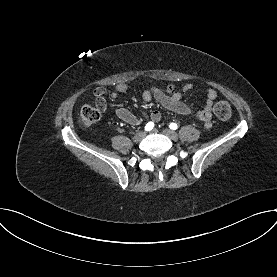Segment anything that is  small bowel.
<instances>
[{
	"mask_svg": "<svg viewBox=\"0 0 277 277\" xmlns=\"http://www.w3.org/2000/svg\"><path fill=\"white\" fill-rule=\"evenodd\" d=\"M193 88L191 83L185 84L181 91L174 92L172 94H168L161 87L157 88L152 95L150 91L145 90L142 94L143 100L146 102L151 101L152 97L156 99L163 107L168 110H171L175 113L197 117L203 121H205V127L209 128L211 126L210 123V115L213 107L214 100L217 98V92L212 87L206 88V102L201 111L197 112L190 108L188 105L182 102V94L190 91ZM128 90V85L125 83L118 84L114 90L111 92L110 97L114 102V109L117 117L122 121L131 124L138 125L141 123L142 119L134 115L128 109L122 107L119 104L120 94L126 92ZM106 89L103 87H98L93 91V103L97 106H101L103 110L106 109V103L104 99V95L106 94ZM144 117H147L146 112H142ZM149 118L158 122L161 119V113L158 110H154L150 113Z\"/></svg>",
	"mask_w": 277,
	"mask_h": 277,
	"instance_id": "obj_1",
	"label": "small bowel"
}]
</instances>
